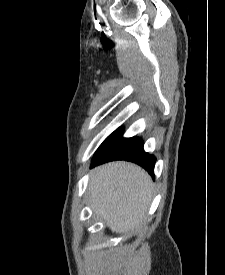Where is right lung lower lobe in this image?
<instances>
[{
	"label": "right lung lower lobe",
	"instance_id": "1",
	"mask_svg": "<svg viewBox=\"0 0 225 275\" xmlns=\"http://www.w3.org/2000/svg\"><path fill=\"white\" fill-rule=\"evenodd\" d=\"M123 130L118 129L108 136L97 150L92 166L114 160H126L142 166L154 175L155 157L143 149L141 138H123Z\"/></svg>",
	"mask_w": 225,
	"mask_h": 275
}]
</instances>
